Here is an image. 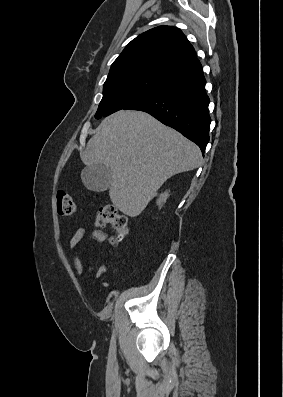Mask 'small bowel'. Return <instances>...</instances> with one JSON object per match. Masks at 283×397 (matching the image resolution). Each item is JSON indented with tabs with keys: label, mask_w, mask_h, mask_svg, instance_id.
Listing matches in <instances>:
<instances>
[{
	"label": "small bowel",
	"mask_w": 283,
	"mask_h": 397,
	"mask_svg": "<svg viewBox=\"0 0 283 397\" xmlns=\"http://www.w3.org/2000/svg\"><path fill=\"white\" fill-rule=\"evenodd\" d=\"M87 235V229L85 226H80L76 229L75 233L69 240V250L74 251L79 243L86 237ZM107 233L104 230L101 229H95L93 230L90 234L89 237L90 239L102 243L107 239ZM74 266L76 273L78 275H81L83 273V265L80 259V256L77 252L74 254ZM106 272V268L104 266H101L98 268L96 272V278L99 279L102 277V275Z\"/></svg>",
	"instance_id": "c3829d8e"
}]
</instances>
